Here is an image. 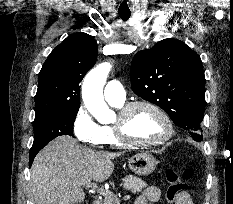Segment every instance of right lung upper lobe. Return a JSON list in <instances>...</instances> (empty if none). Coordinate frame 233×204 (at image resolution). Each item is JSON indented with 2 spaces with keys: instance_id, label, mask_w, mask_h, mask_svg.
Returning <instances> with one entry per match:
<instances>
[{
  "instance_id": "obj_1",
  "label": "right lung upper lobe",
  "mask_w": 233,
  "mask_h": 204,
  "mask_svg": "<svg viewBox=\"0 0 233 204\" xmlns=\"http://www.w3.org/2000/svg\"><path fill=\"white\" fill-rule=\"evenodd\" d=\"M97 53L96 41L86 33L72 34L59 44L39 73L36 114L80 107L79 83L94 66Z\"/></svg>"
}]
</instances>
